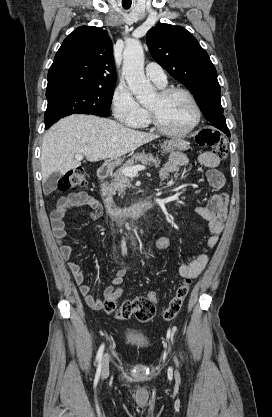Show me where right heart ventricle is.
I'll use <instances>...</instances> for the list:
<instances>
[{"mask_svg": "<svg viewBox=\"0 0 272 417\" xmlns=\"http://www.w3.org/2000/svg\"><path fill=\"white\" fill-rule=\"evenodd\" d=\"M148 125H149V119H148V114L146 112L144 118L137 125H135L134 127L135 128H145Z\"/></svg>", "mask_w": 272, "mask_h": 417, "instance_id": "e07e8e85", "label": "right heart ventricle"}]
</instances>
